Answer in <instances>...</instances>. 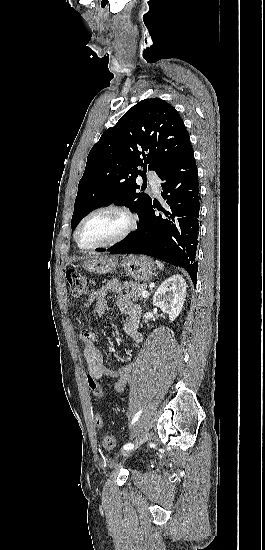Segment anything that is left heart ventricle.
Here are the masks:
<instances>
[{
  "mask_svg": "<svg viewBox=\"0 0 265 550\" xmlns=\"http://www.w3.org/2000/svg\"><path fill=\"white\" fill-rule=\"evenodd\" d=\"M125 226L126 219L121 214L114 211H102L84 222L78 239L84 247L105 243L117 237Z\"/></svg>",
  "mask_w": 265,
  "mask_h": 550,
  "instance_id": "left-heart-ventricle-1",
  "label": "left heart ventricle"
}]
</instances>
